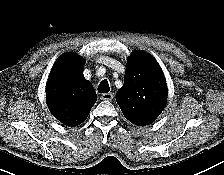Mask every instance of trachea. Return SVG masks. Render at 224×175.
Here are the masks:
<instances>
[{"label":"trachea","instance_id":"3493384b","mask_svg":"<svg viewBox=\"0 0 224 175\" xmlns=\"http://www.w3.org/2000/svg\"><path fill=\"white\" fill-rule=\"evenodd\" d=\"M110 90L109 83L106 79L102 80L98 86L99 93H108Z\"/></svg>","mask_w":224,"mask_h":175}]
</instances>
